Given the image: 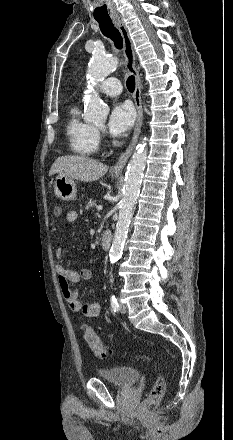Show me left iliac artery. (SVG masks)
Segmentation results:
<instances>
[{
	"mask_svg": "<svg viewBox=\"0 0 233 440\" xmlns=\"http://www.w3.org/2000/svg\"><path fill=\"white\" fill-rule=\"evenodd\" d=\"M111 307L113 309L114 312H118L119 311V304L117 302V299L115 298L114 295L111 296Z\"/></svg>",
	"mask_w": 233,
	"mask_h": 440,
	"instance_id": "left-iliac-artery-1",
	"label": "left iliac artery"
}]
</instances>
